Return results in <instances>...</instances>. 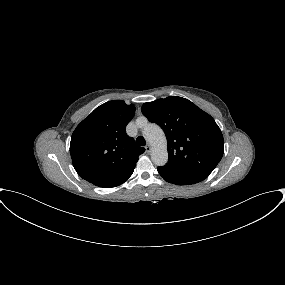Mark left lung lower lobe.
I'll return each instance as SVG.
<instances>
[{"label":"left lung lower lobe","mask_w":285,"mask_h":285,"mask_svg":"<svg viewBox=\"0 0 285 285\" xmlns=\"http://www.w3.org/2000/svg\"><path fill=\"white\" fill-rule=\"evenodd\" d=\"M159 174L169 183L176 185H191L203 181L206 177L192 174H178L168 172L158 167Z\"/></svg>","instance_id":"obj_1"}]
</instances>
